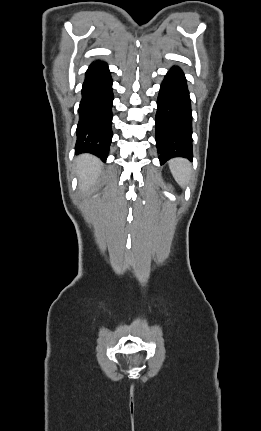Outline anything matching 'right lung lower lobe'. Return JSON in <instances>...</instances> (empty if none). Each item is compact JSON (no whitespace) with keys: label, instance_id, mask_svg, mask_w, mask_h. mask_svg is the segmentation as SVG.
Returning a JSON list of instances; mask_svg holds the SVG:
<instances>
[{"label":"right lung lower lobe","instance_id":"1","mask_svg":"<svg viewBox=\"0 0 261 431\" xmlns=\"http://www.w3.org/2000/svg\"><path fill=\"white\" fill-rule=\"evenodd\" d=\"M112 78L105 62H93L85 74L79 122L76 130V153H92L105 160L112 140Z\"/></svg>","mask_w":261,"mask_h":431}]
</instances>
